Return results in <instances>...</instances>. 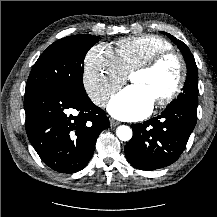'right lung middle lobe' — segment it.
Returning a JSON list of instances; mask_svg holds the SVG:
<instances>
[{
  "instance_id": "right-lung-middle-lobe-1",
  "label": "right lung middle lobe",
  "mask_w": 217,
  "mask_h": 217,
  "mask_svg": "<svg viewBox=\"0 0 217 217\" xmlns=\"http://www.w3.org/2000/svg\"><path fill=\"white\" fill-rule=\"evenodd\" d=\"M99 41V36L72 35L51 44L34 64L25 93L64 88L85 94L83 85L84 58Z\"/></svg>"
}]
</instances>
